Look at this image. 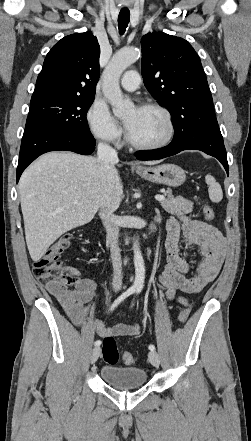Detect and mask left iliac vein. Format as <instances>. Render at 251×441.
Masks as SVG:
<instances>
[{
    "label": "left iliac vein",
    "instance_id": "4c4485c4",
    "mask_svg": "<svg viewBox=\"0 0 251 441\" xmlns=\"http://www.w3.org/2000/svg\"><path fill=\"white\" fill-rule=\"evenodd\" d=\"M148 359L153 366H155V367L159 366L160 358H159V355L156 351H150L148 353Z\"/></svg>",
    "mask_w": 251,
    "mask_h": 441
}]
</instances>
